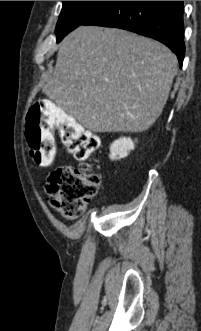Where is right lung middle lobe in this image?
<instances>
[{"label": "right lung middle lobe", "instance_id": "right-lung-middle-lobe-1", "mask_svg": "<svg viewBox=\"0 0 201 331\" xmlns=\"http://www.w3.org/2000/svg\"><path fill=\"white\" fill-rule=\"evenodd\" d=\"M111 1H63V7L56 26L59 43L69 32L83 25L90 17Z\"/></svg>", "mask_w": 201, "mask_h": 331}]
</instances>
